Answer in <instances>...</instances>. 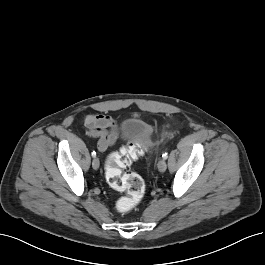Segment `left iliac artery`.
Instances as JSON below:
<instances>
[{
    "mask_svg": "<svg viewBox=\"0 0 265 265\" xmlns=\"http://www.w3.org/2000/svg\"><path fill=\"white\" fill-rule=\"evenodd\" d=\"M162 157H163V159H167V158H168V154H167V153H164V154L162 155Z\"/></svg>",
    "mask_w": 265,
    "mask_h": 265,
    "instance_id": "obj_1",
    "label": "left iliac artery"
}]
</instances>
